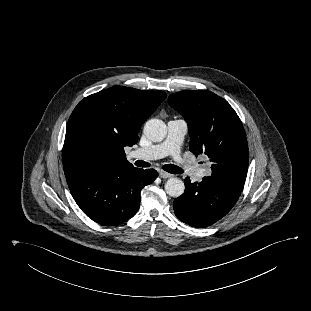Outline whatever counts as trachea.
Listing matches in <instances>:
<instances>
[{"label":"trachea","instance_id":"3493384b","mask_svg":"<svg viewBox=\"0 0 311 311\" xmlns=\"http://www.w3.org/2000/svg\"><path fill=\"white\" fill-rule=\"evenodd\" d=\"M135 165L138 166V167H150L151 166L150 163L142 161V160L136 161ZM162 168L165 171H167L169 173H172V174H181V173H183V170L180 167H178L176 165H173V164H166Z\"/></svg>","mask_w":311,"mask_h":311}]
</instances>
